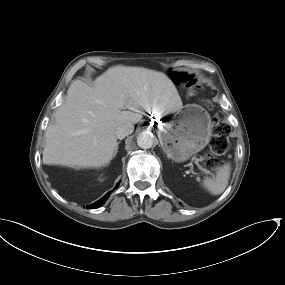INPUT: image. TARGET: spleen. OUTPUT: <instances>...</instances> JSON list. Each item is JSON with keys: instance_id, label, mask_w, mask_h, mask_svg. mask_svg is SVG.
I'll return each mask as SVG.
<instances>
[{"instance_id": "1", "label": "spleen", "mask_w": 285, "mask_h": 285, "mask_svg": "<svg viewBox=\"0 0 285 285\" xmlns=\"http://www.w3.org/2000/svg\"><path fill=\"white\" fill-rule=\"evenodd\" d=\"M230 165H224L217 170L214 178H206L203 185L212 195H220L224 192L228 185L230 177Z\"/></svg>"}]
</instances>
